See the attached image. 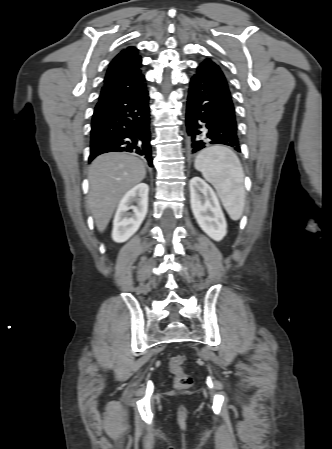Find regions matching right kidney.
<instances>
[{
  "label": "right kidney",
  "instance_id": "1",
  "mask_svg": "<svg viewBox=\"0 0 332 449\" xmlns=\"http://www.w3.org/2000/svg\"><path fill=\"white\" fill-rule=\"evenodd\" d=\"M148 192L149 186L139 183L120 200L113 220L112 239L115 242L127 241L139 229L148 211Z\"/></svg>",
  "mask_w": 332,
  "mask_h": 449
}]
</instances>
